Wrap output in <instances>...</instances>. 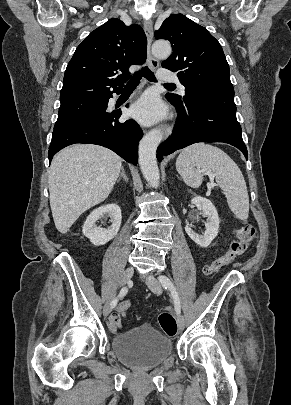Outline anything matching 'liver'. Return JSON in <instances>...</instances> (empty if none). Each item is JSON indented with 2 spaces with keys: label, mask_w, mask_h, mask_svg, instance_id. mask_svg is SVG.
<instances>
[{
  "label": "liver",
  "mask_w": 291,
  "mask_h": 405,
  "mask_svg": "<svg viewBox=\"0 0 291 405\" xmlns=\"http://www.w3.org/2000/svg\"><path fill=\"white\" fill-rule=\"evenodd\" d=\"M121 168L117 154L93 144L64 148L53 158L48 176L50 206L60 233H67L83 212L109 196Z\"/></svg>",
  "instance_id": "liver-1"
}]
</instances>
